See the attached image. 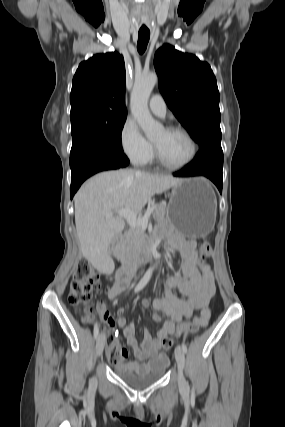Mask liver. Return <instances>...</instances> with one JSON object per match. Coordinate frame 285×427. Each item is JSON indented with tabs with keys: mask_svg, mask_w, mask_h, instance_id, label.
<instances>
[{
	"mask_svg": "<svg viewBox=\"0 0 285 427\" xmlns=\"http://www.w3.org/2000/svg\"><path fill=\"white\" fill-rule=\"evenodd\" d=\"M182 179L131 169L99 173L86 181L75 195V224L84 257L97 269L110 262L109 246L125 226L120 209L138 213L155 194ZM113 216L107 217L108 213Z\"/></svg>",
	"mask_w": 285,
	"mask_h": 427,
	"instance_id": "6515ba94",
	"label": "liver"
}]
</instances>
